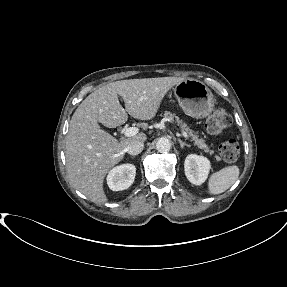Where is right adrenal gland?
<instances>
[{
	"label": "right adrenal gland",
	"mask_w": 287,
	"mask_h": 287,
	"mask_svg": "<svg viewBox=\"0 0 287 287\" xmlns=\"http://www.w3.org/2000/svg\"><path fill=\"white\" fill-rule=\"evenodd\" d=\"M132 158H134L135 157V155H133V156H131Z\"/></svg>",
	"instance_id": "right-adrenal-gland-1"
}]
</instances>
